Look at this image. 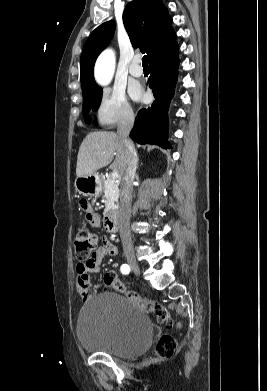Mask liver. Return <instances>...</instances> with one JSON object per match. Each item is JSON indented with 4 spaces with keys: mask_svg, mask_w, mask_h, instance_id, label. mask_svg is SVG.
I'll return each mask as SVG.
<instances>
[{
    "mask_svg": "<svg viewBox=\"0 0 267 391\" xmlns=\"http://www.w3.org/2000/svg\"><path fill=\"white\" fill-rule=\"evenodd\" d=\"M115 156V160L113 158ZM113 161V163H112ZM126 150L114 132H90L80 145L76 175L82 177L95 173L111 164V168L123 175L126 169Z\"/></svg>",
    "mask_w": 267,
    "mask_h": 391,
    "instance_id": "obj_1",
    "label": "liver"
}]
</instances>
